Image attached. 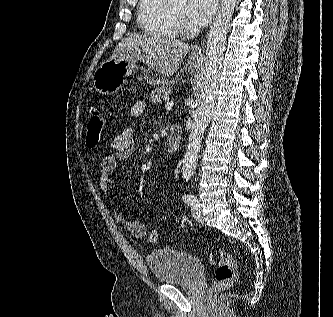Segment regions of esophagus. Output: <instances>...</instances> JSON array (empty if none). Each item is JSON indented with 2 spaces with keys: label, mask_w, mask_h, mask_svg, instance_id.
Listing matches in <instances>:
<instances>
[{
  "label": "esophagus",
  "mask_w": 333,
  "mask_h": 317,
  "mask_svg": "<svg viewBox=\"0 0 333 317\" xmlns=\"http://www.w3.org/2000/svg\"><path fill=\"white\" fill-rule=\"evenodd\" d=\"M204 43H205V40H203V42L201 43L200 46H198L195 51L193 52V58L194 59H201L203 57V54H204Z\"/></svg>",
  "instance_id": "34e87169"
}]
</instances>
